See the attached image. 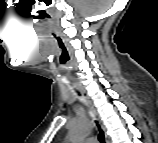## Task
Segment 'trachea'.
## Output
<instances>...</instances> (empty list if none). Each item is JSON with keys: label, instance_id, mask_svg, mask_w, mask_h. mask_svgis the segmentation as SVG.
Returning a JSON list of instances; mask_svg holds the SVG:
<instances>
[{"label": "trachea", "instance_id": "1", "mask_svg": "<svg viewBox=\"0 0 158 143\" xmlns=\"http://www.w3.org/2000/svg\"><path fill=\"white\" fill-rule=\"evenodd\" d=\"M98 129H99V136H98V139L101 143H105V140H104V134L102 132V130L100 129L99 125H98Z\"/></svg>", "mask_w": 158, "mask_h": 143}]
</instances>
